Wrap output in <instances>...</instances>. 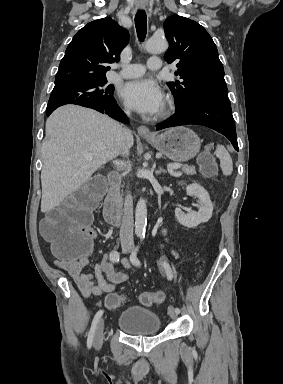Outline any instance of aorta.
<instances>
[{
    "instance_id": "aorta-1",
    "label": "aorta",
    "mask_w": 283,
    "mask_h": 384,
    "mask_svg": "<svg viewBox=\"0 0 283 384\" xmlns=\"http://www.w3.org/2000/svg\"><path fill=\"white\" fill-rule=\"evenodd\" d=\"M168 48V42L166 39L152 37L145 45V49L149 53L159 54L163 53ZM147 224V209L146 202L143 198H140L135 209V234L137 236H144Z\"/></svg>"
}]
</instances>
